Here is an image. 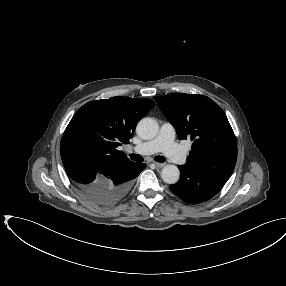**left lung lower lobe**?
<instances>
[{"mask_svg": "<svg viewBox=\"0 0 286 286\" xmlns=\"http://www.w3.org/2000/svg\"><path fill=\"white\" fill-rule=\"evenodd\" d=\"M180 180L170 185V190L184 202L197 204L215 196L224 186V180L211 174L178 165Z\"/></svg>", "mask_w": 286, "mask_h": 286, "instance_id": "1", "label": "left lung lower lobe"}]
</instances>
